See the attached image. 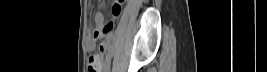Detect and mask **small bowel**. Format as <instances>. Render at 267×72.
Listing matches in <instances>:
<instances>
[{
  "label": "small bowel",
  "mask_w": 267,
  "mask_h": 72,
  "mask_svg": "<svg viewBox=\"0 0 267 72\" xmlns=\"http://www.w3.org/2000/svg\"><path fill=\"white\" fill-rule=\"evenodd\" d=\"M119 2H120V4H119L120 10L118 12L114 10L115 3L112 6V17L113 18L110 21H115L119 17V15L121 14L123 1H119ZM93 24H94V32H93L92 38L87 43L88 50L92 51L95 47V40H97L99 38H103V37H106V40L104 42L105 47L107 48V50H110L111 45H112V36L110 33H106L104 31V28H105L107 23L105 24L104 16L102 13H96L94 15Z\"/></svg>",
  "instance_id": "c3829d8e"
}]
</instances>
